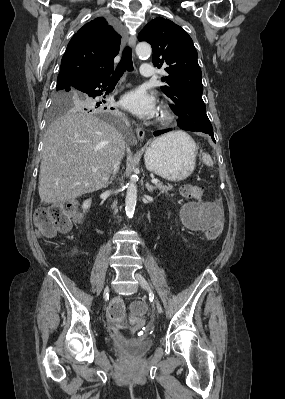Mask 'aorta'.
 <instances>
[{
	"label": "aorta",
	"mask_w": 285,
	"mask_h": 399,
	"mask_svg": "<svg viewBox=\"0 0 285 399\" xmlns=\"http://www.w3.org/2000/svg\"><path fill=\"white\" fill-rule=\"evenodd\" d=\"M151 46L146 42H140L136 46V54L140 57H149L151 55ZM137 202V186L135 178L132 176L127 186V193L125 198V211L128 217H132L135 211Z\"/></svg>",
	"instance_id": "aorta-1"
}]
</instances>
